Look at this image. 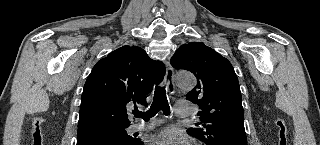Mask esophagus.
Instances as JSON below:
<instances>
[{
    "mask_svg": "<svg viewBox=\"0 0 320 145\" xmlns=\"http://www.w3.org/2000/svg\"><path fill=\"white\" fill-rule=\"evenodd\" d=\"M165 83L170 94L175 93L174 71L169 62L166 63Z\"/></svg>",
    "mask_w": 320,
    "mask_h": 145,
    "instance_id": "esophagus-1",
    "label": "esophagus"
}]
</instances>
